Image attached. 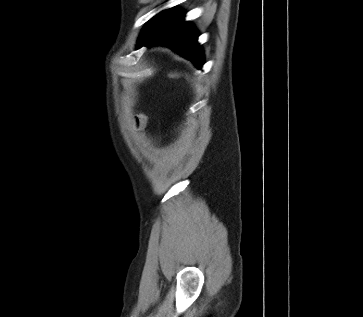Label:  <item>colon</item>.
<instances>
[{"instance_id": "1", "label": "colon", "mask_w": 363, "mask_h": 317, "mask_svg": "<svg viewBox=\"0 0 363 317\" xmlns=\"http://www.w3.org/2000/svg\"><path fill=\"white\" fill-rule=\"evenodd\" d=\"M135 126L138 130L143 129V127L145 126V116L143 114H137L135 116Z\"/></svg>"}]
</instances>
